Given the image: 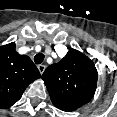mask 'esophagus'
<instances>
[{
  "label": "esophagus",
  "mask_w": 117,
  "mask_h": 117,
  "mask_svg": "<svg viewBox=\"0 0 117 117\" xmlns=\"http://www.w3.org/2000/svg\"><path fill=\"white\" fill-rule=\"evenodd\" d=\"M45 65H43V64H39L38 66H37V68H38V70H39V72L42 74L43 72H44V70H45Z\"/></svg>",
  "instance_id": "1"
}]
</instances>
